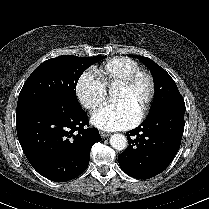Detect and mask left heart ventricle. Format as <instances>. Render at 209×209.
Returning <instances> with one entry per match:
<instances>
[{
	"mask_svg": "<svg viewBox=\"0 0 209 209\" xmlns=\"http://www.w3.org/2000/svg\"><path fill=\"white\" fill-rule=\"evenodd\" d=\"M148 92V81L144 77H140L129 89L117 88L114 99L116 102H127L139 114L146 102Z\"/></svg>",
	"mask_w": 209,
	"mask_h": 209,
	"instance_id": "1",
	"label": "left heart ventricle"
}]
</instances>
